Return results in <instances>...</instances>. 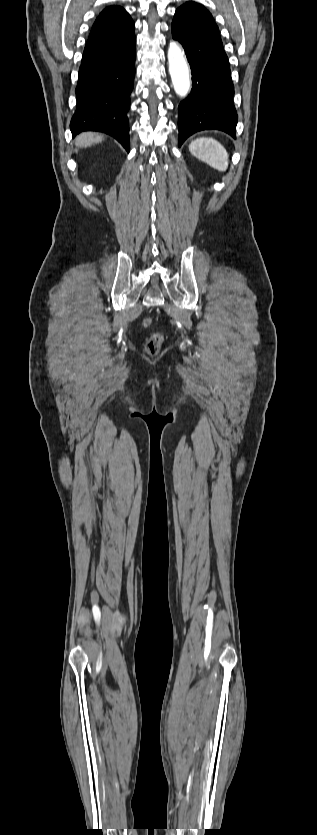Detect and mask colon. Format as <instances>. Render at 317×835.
Listing matches in <instances>:
<instances>
[{"label":"colon","instance_id":"1","mask_svg":"<svg viewBox=\"0 0 317 835\" xmlns=\"http://www.w3.org/2000/svg\"><path fill=\"white\" fill-rule=\"evenodd\" d=\"M153 324H154V320L151 317L144 318L143 326L145 328H150V327L153 326ZM163 341H164V336L161 333H159V332L152 333L150 338L147 341L146 351L150 354H155L159 350Z\"/></svg>","mask_w":317,"mask_h":835}]
</instances>
